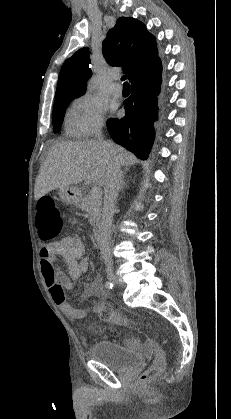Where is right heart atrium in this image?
Instances as JSON below:
<instances>
[{
    "instance_id": "d8ad5b80",
    "label": "right heart atrium",
    "mask_w": 231,
    "mask_h": 419,
    "mask_svg": "<svg viewBox=\"0 0 231 419\" xmlns=\"http://www.w3.org/2000/svg\"><path fill=\"white\" fill-rule=\"evenodd\" d=\"M72 134L80 138L96 135L104 125V108L100 101L84 94L76 98L68 115Z\"/></svg>"
}]
</instances>
